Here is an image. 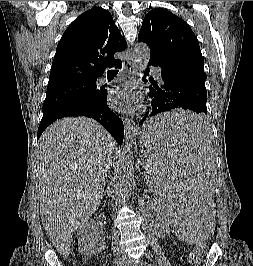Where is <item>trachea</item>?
Here are the masks:
<instances>
[{
	"label": "trachea",
	"mask_w": 253,
	"mask_h": 266,
	"mask_svg": "<svg viewBox=\"0 0 253 266\" xmlns=\"http://www.w3.org/2000/svg\"><path fill=\"white\" fill-rule=\"evenodd\" d=\"M118 70L117 69H112L107 72V74H117Z\"/></svg>",
	"instance_id": "trachea-1"
}]
</instances>
